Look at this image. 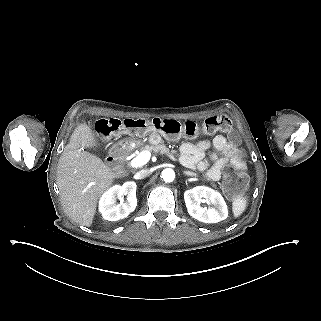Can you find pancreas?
<instances>
[{"label":"pancreas","mask_w":321,"mask_h":321,"mask_svg":"<svg viewBox=\"0 0 321 321\" xmlns=\"http://www.w3.org/2000/svg\"><path fill=\"white\" fill-rule=\"evenodd\" d=\"M135 149L139 150V151H149V152H160L161 154H165L168 155L170 158L175 159V157L178 155V151L177 150H170L169 148H167L165 145H146L143 144L142 141L136 145V146H129V152L134 151ZM195 176H197L196 173H194ZM205 181H209L208 179H204ZM210 185L214 188H216V184L214 182H211Z\"/></svg>","instance_id":"cf45deb5"}]
</instances>
